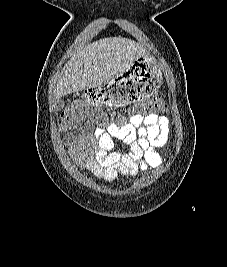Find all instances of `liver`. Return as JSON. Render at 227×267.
<instances>
[{
	"label": "liver",
	"instance_id": "6515ba94",
	"mask_svg": "<svg viewBox=\"0 0 227 267\" xmlns=\"http://www.w3.org/2000/svg\"><path fill=\"white\" fill-rule=\"evenodd\" d=\"M140 44L122 37H110L91 43L75 54L61 71L55 97L90 87H103L129 63L144 56Z\"/></svg>",
	"mask_w": 227,
	"mask_h": 267
}]
</instances>
